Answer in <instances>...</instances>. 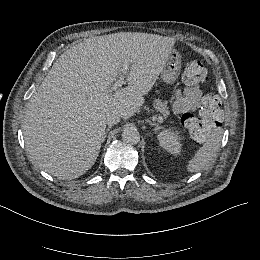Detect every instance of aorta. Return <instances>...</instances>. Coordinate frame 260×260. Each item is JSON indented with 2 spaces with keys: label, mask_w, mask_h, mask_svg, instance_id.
<instances>
[{
  "label": "aorta",
  "mask_w": 260,
  "mask_h": 260,
  "mask_svg": "<svg viewBox=\"0 0 260 260\" xmlns=\"http://www.w3.org/2000/svg\"><path fill=\"white\" fill-rule=\"evenodd\" d=\"M122 140L128 144H137L140 141V135L135 127H125L122 132Z\"/></svg>",
  "instance_id": "aorta-1"
}]
</instances>
